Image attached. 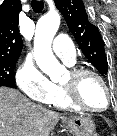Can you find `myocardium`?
<instances>
[{
	"instance_id": "myocardium-1",
	"label": "myocardium",
	"mask_w": 117,
	"mask_h": 136,
	"mask_svg": "<svg viewBox=\"0 0 117 136\" xmlns=\"http://www.w3.org/2000/svg\"><path fill=\"white\" fill-rule=\"evenodd\" d=\"M69 74L71 76V82L69 84H61V88L64 91V94L68 100V102L75 107L78 110L89 112V113H102L108 110L112 104L113 100V94L112 91L106 82V80L103 78L101 74H99L97 71H94L92 69L88 68H82V67H74L69 71ZM91 75L97 78L101 84L103 85L106 95H107V103L106 106L102 109H92L87 106H85L78 97V81L86 76Z\"/></svg>"
}]
</instances>
